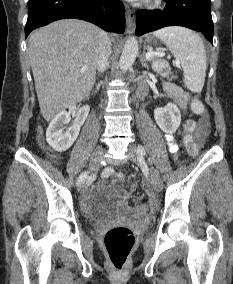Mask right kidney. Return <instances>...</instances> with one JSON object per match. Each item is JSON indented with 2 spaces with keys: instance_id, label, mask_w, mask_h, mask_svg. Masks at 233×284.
<instances>
[{
  "instance_id": "ca27d5eb",
  "label": "right kidney",
  "mask_w": 233,
  "mask_h": 284,
  "mask_svg": "<svg viewBox=\"0 0 233 284\" xmlns=\"http://www.w3.org/2000/svg\"><path fill=\"white\" fill-rule=\"evenodd\" d=\"M89 110L88 105H84L80 108L71 106L69 112L61 111L57 114L46 131L47 143L57 152H63L69 149L77 139L80 128L89 114ZM71 114L74 117V122L65 130L64 126L69 123Z\"/></svg>"
}]
</instances>
